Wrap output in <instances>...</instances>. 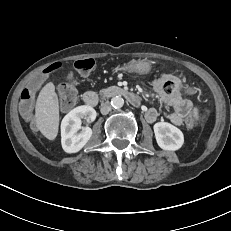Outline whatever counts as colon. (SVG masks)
<instances>
[{"label": "colon", "instance_id": "colon-1", "mask_svg": "<svg viewBox=\"0 0 231 231\" xmlns=\"http://www.w3.org/2000/svg\"><path fill=\"white\" fill-rule=\"evenodd\" d=\"M95 66L94 59L91 58H85L80 59L75 62L74 67L78 74L81 76H87L91 73ZM60 67V64H53L49 66L46 70H44L41 74H39L36 78V81H34L32 84L28 86L27 89H25L21 94V101L20 106L21 110L25 114H29L32 110L35 95L37 92L38 86H44L48 83L49 78L48 75L50 72H53L57 70ZM174 85L177 87V91L180 94H185L188 98H194L197 95V90L194 87H188L187 84L181 83L179 80H176L174 82ZM78 98V91L73 83H65L62 84L59 88V99H60V105L63 110H70L72 109ZM208 116V110L203 109L201 110L198 118L190 117L187 120V125L189 127H192L196 125L197 123H203Z\"/></svg>", "mask_w": 231, "mask_h": 231}]
</instances>
